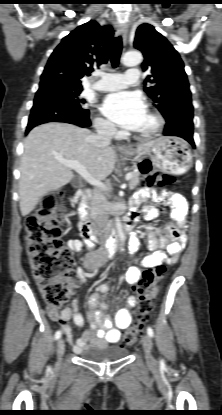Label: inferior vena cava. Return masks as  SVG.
<instances>
[{"label": "inferior vena cava", "instance_id": "inferior-vena-cava-1", "mask_svg": "<svg viewBox=\"0 0 222 415\" xmlns=\"http://www.w3.org/2000/svg\"><path fill=\"white\" fill-rule=\"evenodd\" d=\"M96 135L91 136L92 143L98 148H105L110 145L111 139L116 132V128L112 123L101 122L96 126ZM91 216L94 219L100 235L101 247L96 252L97 255L106 256L105 248V228L108 220L107 202L103 193L95 189L91 200Z\"/></svg>", "mask_w": 222, "mask_h": 415}]
</instances>
